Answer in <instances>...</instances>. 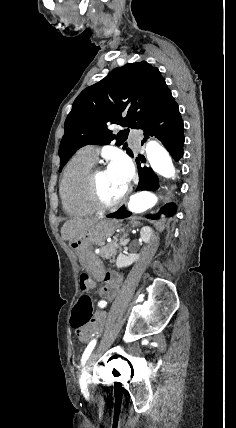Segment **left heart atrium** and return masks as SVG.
I'll return each mask as SVG.
<instances>
[{
    "label": "left heart atrium",
    "instance_id": "1",
    "mask_svg": "<svg viewBox=\"0 0 236 428\" xmlns=\"http://www.w3.org/2000/svg\"><path fill=\"white\" fill-rule=\"evenodd\" d=\"M109 170L121 174L128 182L131 181L133 171L126 159L122 157L113 158L109 164Z\"/></svg>",
    "mask_w": 236,
    "mask_h": 428
}]
</instances>
